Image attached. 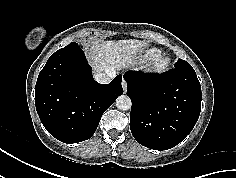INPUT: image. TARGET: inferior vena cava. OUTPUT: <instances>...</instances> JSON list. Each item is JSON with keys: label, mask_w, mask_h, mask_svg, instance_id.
<instances>
[{"label": "inferior vena cava", "mask_w": 236, "mask_h": 178, "mask_svg": "<svg viewBox=\"0 0 236 178\" xmlns=\"http://www.w3.org/2000/svg\"><path fill=\"white\" fill-rule=\"evenodd\" d=\"M116 76V71L114 69H109L105 73H97L94 75V79L101 84H108Z\"/></svg>", "instance_id": "inferior-vena-cava-1"}]
</instances>
